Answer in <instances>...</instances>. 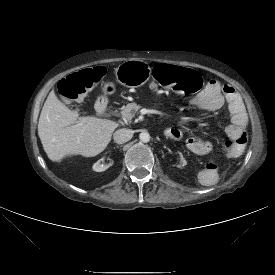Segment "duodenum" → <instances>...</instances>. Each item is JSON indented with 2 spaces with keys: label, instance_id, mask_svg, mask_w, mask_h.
I'll return each instance as SVG.
<instances>
[{
  "label": "duodenum",
  "instance_id": "410a0bca",
  "mask_svg": "<svg viewBox=\"0 0 275 275\" xmlns=\"http://www.w3.org/2000/svg\"><path fill=\"white\" fill-rule=\"evenodd\" d=\"M95 109L98 114H104L108 109V103L102 96L98 97L95 102Z\"/></svg>",
  "mask_w": 275,
  "mask_h": 275
}]
</instances>
